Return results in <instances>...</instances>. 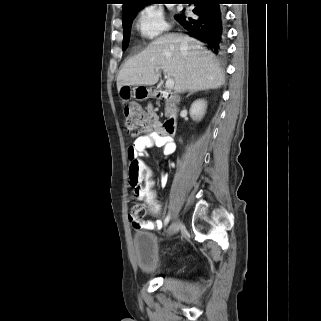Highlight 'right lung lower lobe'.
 <instances>
[{
    "label": "right lung lower lobe",
    "instance_id": "right-lung-lower-lobe-1",
    "mask_svg": "<svg viewBox=\"0 0 321 321\" xmlns=\"http://www.w3.org/2000/svg\"><path fill=\"white\" fill-rule=\"evenodd\" d=\"M194 4L193 18H187L184 13L176 15L175 19L185 28L189 35L206 43L216 53L222 45L223 27L220 4L224 0H188Z\"/></svg>",
    "mask_w": 321,
    "mask_h": 321
}]
</instances>
